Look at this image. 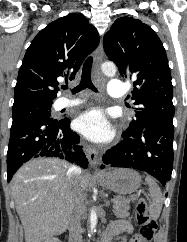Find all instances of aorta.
<instances>
[{"label": "aorta", "instance_id": "obj_1", "mask_svg": "<svg viewBox=\"0 0 187 242\" xmlns=\"http://www.w3.org/2000/svg\"><path fill=\"white\" fill-rule=\"evenodd\" d=\"M101 70L108 77H113L116 74V66L112 62H104L101 66ZM90 224H91V233H92L97 224V214L94 210H91Z\"/></svg>", "mask_w": 187, "mask_h": 242}]
</instances>
